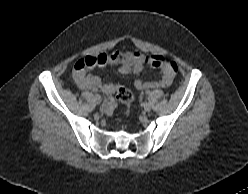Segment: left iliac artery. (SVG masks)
I'll list each match as a JSON object with an SVG mask.
<instances>
[{"label":"left iliac artery","instance_id":"44dca946","mask_svg":"<svg viewBox=\"0 0 248 194\" xmlns=\"http://www.w3.org/2000/svg\"><path fill=\"white\" fill-rule=\"evenodd\" d=\"M146 94L149 95L150 94V91H147Z\"/></svg>","mask_w":248,"mask_h":194}]
</instances>
